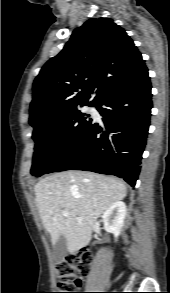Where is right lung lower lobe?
<instances>
[{"mask_svg":"<svg viewBox=\"0 0 170 293\" xmlns=\"http://www.w3.org/2000/svg\"><path fill=\"white\" fill-rule=\"evenodd\" d=\"M151 97L147 68L106 91L94 105L103 123L91 121L47 173L92 171L134 186L150 125Z\"/></svg>","mask_w":170,"mask_h":293,"instance_id":"1","label":"right lung lower lobe"}]
</instances>
